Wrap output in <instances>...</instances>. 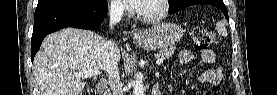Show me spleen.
<instances>
[{"mask_svg":"<svg viewBox=\"0 0 277 95\" xmlns=\"http://www.w3.org/2000/svg\"><path fill=\"white\" fill-rule=\"evenodd\" d=\"M216 28H217L218 33L221 36L226 37L228 35L227 30L222 22H217Z\"/></svg>","mask_w":277,"mask_h":95,"instance_id":"1","label":"spleen"}]
</instances>
